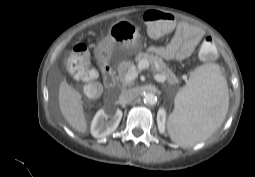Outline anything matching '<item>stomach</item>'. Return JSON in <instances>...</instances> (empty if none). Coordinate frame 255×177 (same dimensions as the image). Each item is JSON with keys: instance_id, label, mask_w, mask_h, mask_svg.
<instances>
[{"instance_id": "obj_1", "label": "stomach", "mask_w": 255, "mask_h": 177, "mask_svg": "<svg viewBox=\"0 0 255 177\" xmlns=\"http://www.w3.org/2000/svg\"><path fill=\"white\" fill-rule=\"evenodd\" d=\"M140 29L133 22L121 19L113 23L98 45L103 60L121 59L141 51Z\"/></svg>"}]
</instances>
